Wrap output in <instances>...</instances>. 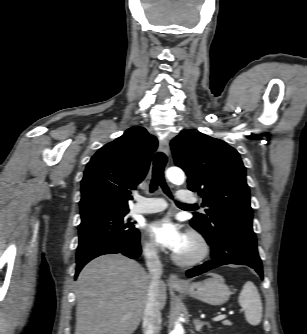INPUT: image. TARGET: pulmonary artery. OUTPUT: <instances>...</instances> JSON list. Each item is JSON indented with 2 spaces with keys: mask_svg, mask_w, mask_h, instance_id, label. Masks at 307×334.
I'll return each mask as SVG.
<instances>
[{
  "mask_svg": "<svg viewBox=\"0 0 307 334\" xmlns=\"http://www.w3.org/2000/svg\"><path fill=\"white\" fill-rule=\"evenodd\" d=\"M176 199L187 203L196 201V198L188 196L187 190L184 189L177 191ZM166 207L167 203L163 198L160 197L147 198V197L137 196L133 210L136 213L149 214L162 211Z\"/></svg>",
  "mask_w": 307,
  "mask_h": 334,
  "instance_id": "1",
  "label": "pulmonary artery"
}]
</instances>
